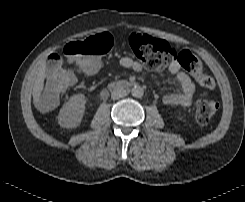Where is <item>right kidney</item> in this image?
Listing matches in <instances>:
<instances>
[{
  "label": "right kidney",
  "mask_w": 245,
  "mask_h": 202,
  "mask_svg": "<svg viewBox=\"0 0 245 202\" xmlns=\"http://www.w3.org/2000/svg\"><path fill=\"white\" fill-rule=\"evenodd\" d=\"M86 98L83 94L73 95L61 108L58 123L63 128L78 127L85 112Z\"/></svg>",
  "instance_id": "obj_1"
}]
</instances>
